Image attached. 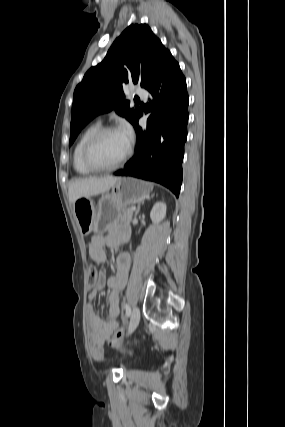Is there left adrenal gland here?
I'll use <instances>...</instances> for the list:
<instances>
[{"instance_id": "1", "label": "left adrenal gland", "mask_w": 285, "mask_h": 427, "mask_svg": "<svg viewBox=\"0 0 285 427\" xmlns=\"http://www.w3.org/2000/svg\"><path fill=\"white\" fill-rule=\"evenodd\" d=\"M144 204V200H142V202H141V204H138V206H137V210L135 211V216H137V214L139 213V211H140V206L141 205H143Z\"/></svg>"}]
</instances>
